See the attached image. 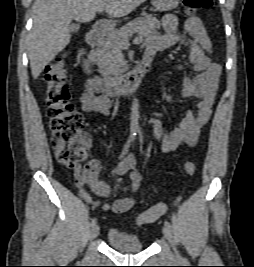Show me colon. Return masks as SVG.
Returning a JSON list of instances; mask_svg holds the SVG:
<instances>
[{"label":"colon","mask_w":254,"mask_h":267,"mask_svg":"<svg viewBox=\"0 0 254 267\" xmlns=\"http://www.w3.org/2000/svg\"><path fill=\"white\" fill-rule=\"evenodd\" d=\"M212 3L213 0H183L184 9L189 14L206 10ZM67 75L66 54L62 53L45 69L47 115L57 160L67 167L77 169L90 156V142L83 134L84 118L71 102ZM183 170L187 175H193L195 165L187 161L183 164ZM166 210L165 204H157L141 213L136 224L140 226L153 222Z\"/></svg>","instance_id":"obj_1"}]
</instances>
